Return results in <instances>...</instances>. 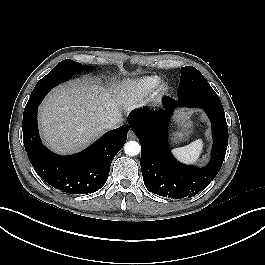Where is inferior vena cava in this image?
<instances>
[{
	"label": "inferior vena cava",
	"instance_id": "obj_1",
	"mask_svg": "<svg viewBox=\"0 0 265 265\" xmlns=\"http://www.w3.org/2000/svg\"><path fill=\"white\" fill-rule=\"evenodd\" d=\"M121 122V117H113L107 123L104 124V128L108 130L115 129L120 125Z\"/></svg>",
	"mask_w": 265,
	"mask_h": 265
}]
</instances>
